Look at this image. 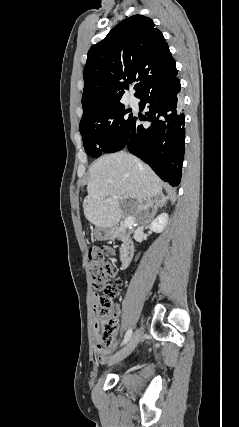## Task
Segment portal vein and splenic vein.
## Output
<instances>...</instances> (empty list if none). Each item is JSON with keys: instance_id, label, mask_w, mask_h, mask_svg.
Wrapping results in <instances>:
<instances>
[{"instance_id": "portal-vein-and-splenic-vein-1", "label": "portal vein and splenic vein", "mask_w": 239, "mask_h": 427, "mask_svg": "<svg viewBox=\"0 0 239 427\" xmlns=\"http://www.w3.org/2000/svg\"><path fill=\"white\" fill-rule=\"evenodd\" d=\"M134 223V219L133 218H126L125 220H124V225L125 226H130V225H132Z\"/></svg>"}]
</instances>
